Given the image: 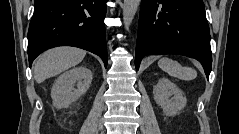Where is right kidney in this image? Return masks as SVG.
Listing matches in <instances>:
<instances>
[{"label":"right kidney","mask_w":239,"mask_h":134,"mask_svg":"<svg viewBox=\"0 0 239 134\" xmlns=\"http://www.w3.org/2000/svg\"><path fill=\"white\" fill-rule=\"evenodd\" d=\"M91 81L92 72L86 67H75L63 73L57 78L51 89L53 105L56 108L67 107L86 93Z\"/></svg>","instance_id":"ca27d5eb"}]
</instances>
